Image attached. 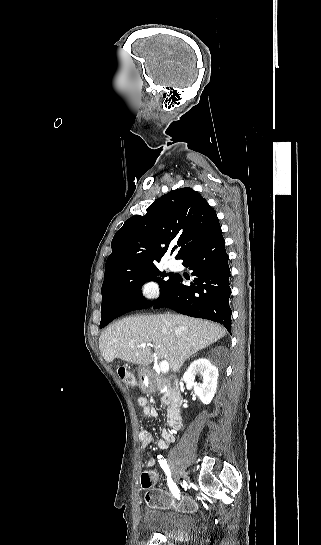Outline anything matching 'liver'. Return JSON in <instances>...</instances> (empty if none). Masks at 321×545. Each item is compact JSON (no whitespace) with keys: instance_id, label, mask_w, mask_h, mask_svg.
I'll use <instances>...</instances> for the list:
<instances>
[{"instance_id":"1","label":"liver","mask_w":321,"mask_h":545,"mask_svg":"<svg viewBox=\"0 0 321 545\" xmlns=\"http://www.w3.org/2000/svg\"><path fill=\"white\" fill-rule=\"evenodd\" d=\"M225 333L221 325L183 315H138L109 325L100 335L99 349L106 363L122 359L149 367L156 355L177 373L185 359L216 343ZM142 343H153L154 355L150 347H141Z\"/></svg>"}]
</instances>
